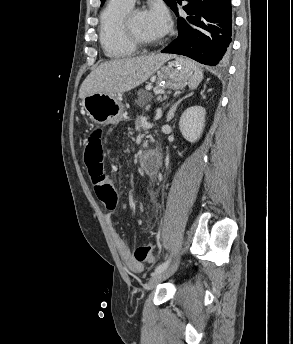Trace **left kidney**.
Masks as SVG:
<instances>
[{
	"instance_id": "1",
	"label": "left kidney",
	"mask_w": 293,
	"mask_h": 344,
	"mask_svg": "<svg viewBox=\"0 0 293 344\" xmlns=\"http://www.w3.org/2000/svg\"><path fill=\"white\" fill-rule=\"evenodd\" d=\"M205 115L206 111L201 106H193L183 112L179 128L187 141L194 143L201 137L205 126Z\"/></svg>"
}]
</instances>
